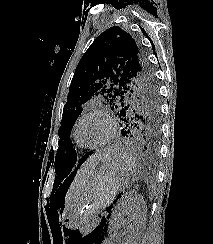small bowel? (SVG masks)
I'll return each mask as SVG.
<instances>
[{
	"label": "small bowel",
	"instance_id": "obj_1",
	"mask_svg": "<svg viewBox=\"0 0 213 244\" xmlns=\"http://www.w3.org/2000/svg\"><path fill=\"white\" fill-rule=\"evenodd\" d=\"M99 244H104V242L101 240V241H99Z\"/></svg>",
	"mask_w": 213,
	"mask_h": 244
}]
</instances>
